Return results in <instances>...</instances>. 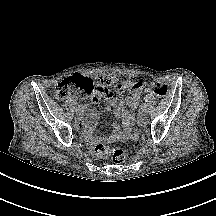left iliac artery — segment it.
I'll return each mask as SVG.
<instances>
[{"mask_svg":"<svg viewBox=\"0 0 216 216\" xmlns=\"http://www.w3.org/2000/svg\"><path fill=\"white\" fill-rule=\"evenodd\" d=\"M140 112H145V107L141 106L140 107Z\"/></svg>","mask_w":216,"mask_h":216,"instance_id":"obj_1","label":"left iliac artery"}]
</instances>
